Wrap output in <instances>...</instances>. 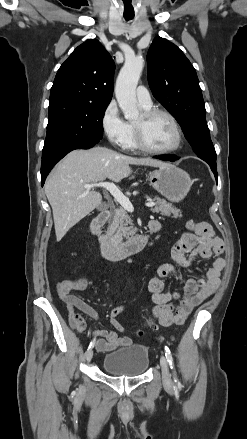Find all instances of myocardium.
Returning a JSON list of instances; mask_svg holds the SVG:
<instances>
[{
    "label": "myocardium",
    "instance_id": "f54148a6",
    "mask_svg": "<svg viewBox=\"0 0 247 439\" xmlns=\"http://www.w3.org/2000/svg\"><path fill=\"white\" fill-rule=\"evenodd\" d=\"M162 115L167 117L173 124L176 132V141L173 146L166 149H156L149 146L145 140L144 127L143 124H134V132L137 146L139 149L151 153V154H170L177 151L183 142V131L182 127L177 120V118L169 111L160 108L147 109L142 113L144 121H147L155 116Z\"/></svg>",
    "mask_w": 247,
    "mask_h": 439
}]
</instances>
